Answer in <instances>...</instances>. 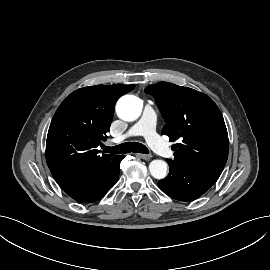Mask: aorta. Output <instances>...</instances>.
Returning a JSON list of instances; mask_svg holds the SVG:
<instances>
[{
  "label": "aorta",
  "mask_w": 270,
  "mask_h": 270,
  "mask_svg": "<svg viewBox=\"0 0 270 270\" xmlns=\"http://www.w3.org/2000/svg\"><path fill=\"white\" fill-rule=\"evenodd\" d=\"M116 112L122 120L134 121L142 112L141 100L134 95H125L118 100ZM149 171L154 178L164 179L167 176V163L163 160H153L149 164Z\"/></svg>",
  "instance_id": "obj_1"
}]
</instances>
